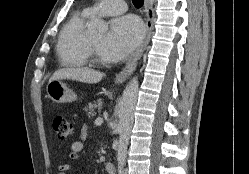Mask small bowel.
I'll return each mask as SVG.
<instances>
[{"label": "small bowel", "mask_w": 249, "mask_h": 174, "mask_svg": "<svg viewBox=\"0 0 249 174\" xmlns=\"http://www.w3.org/2000/svg\"><path fill=\"white\" fill-rule=\"evenodd\" d=\"M87 131L83 129L82 131V139L79 141H75L71 144L70 151L68 153V157L71 160H77L79 158V154L84 150V139L86 138ZM59 174H68L70 167L68 164H62L58 168Z\"/></svg>", "instance_id": "c3829d8e"}]
</instances>
